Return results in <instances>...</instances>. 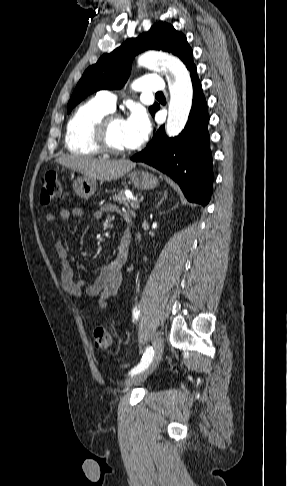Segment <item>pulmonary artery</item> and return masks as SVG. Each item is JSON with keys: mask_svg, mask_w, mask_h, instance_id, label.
Masks as SVG:
<instances>
[{"mask_svg": "<svg viewBox=\"0 0 287 486\" xmlns=\"http://www.w3.org/2000/svg\"><path fill=\"white\" fill-rule=\"evenodd\" d=\"M165 88L162 79L157 75H146L136 81V89L145 93L161 92ZM96 98L110 110L115 108L116 96L106 90L99 91Z\"/></svg>", "mask_w": 287, "mask_h": 486, "instance_id": "1", "label": "pulmonary artery"}]
</instances>
